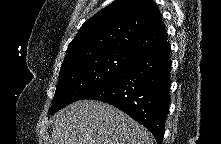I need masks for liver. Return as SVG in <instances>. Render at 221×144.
<instances>
[{"label":"liver","mask_w":221,"mask_h":144,"mask_svg":"<svg viewBox=\"0 0 221 144\" xmlns=\"http://www.w3.org/2000/svg\"><path fill=\"white\" fill-rule=\"evenodd\" d=\"M51 144H154L150 132L116 107L77 101L53 116Z\"/></svg>","instance_id":"obj_1"}]
</instances>
